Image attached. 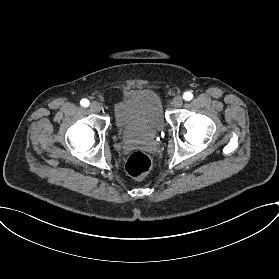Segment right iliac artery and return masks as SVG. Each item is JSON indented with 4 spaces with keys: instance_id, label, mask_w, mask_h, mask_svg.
I'll use <instances>...</instances> for the list:
<instances>
[{
    "instance_id": "right-iliac-artery-1",
    "label": "right iliac artery",
    "mask_w": 279,
    "mask_h": 279,
    "mask_svg": "<svg viewBox=\"0 0 279 279\" xmlns=\"http://www.w3.org/2000/svg\"><path fill=\"white\" fill-rule=\"evenodd\" d=\"M80 104H81V106H83V107H88L89 106V100H87V99H82L81 101H80Z\"/></svg>"
}]
</instances>
